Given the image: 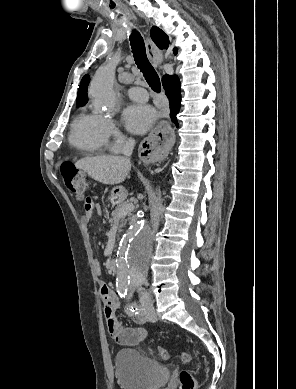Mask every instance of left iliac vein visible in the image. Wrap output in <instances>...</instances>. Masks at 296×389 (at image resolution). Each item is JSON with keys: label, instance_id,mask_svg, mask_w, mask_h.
<instances>
[{"label": "left iliac vein", "instance_id": "4c4485c4", "mask_svg": "<svg viewBox=\"0 0 296 389\" xmlns=\"http://www.w3.org/2000/svg\"><path fill=\"white\" fill-rule=\"evenodd\" d=\"M142 320L144 319L150 322L157 321V315L151 301H144L142 303Z\"/></svg>", "mask_w": 296, "mask_h": 389}]
</instances>
